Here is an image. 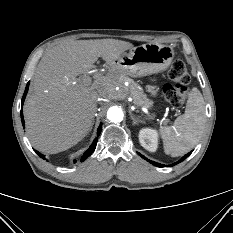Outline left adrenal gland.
Listing matches in <instances>:
<instances>
[{
    "mask_svg": "<svg viewBox=\"0 0 233 233\" xmlns=\"http://www.w3.org/2000/svg\"><path fill=\"white\" fill-rule=\"evenodd\" d=\"M130 118L133 122V125H137L139 122H142L139 118H136L131 111H129Z\"/></svg>",
    "mask_w": 233,
    "mask_h": 233,
    "instance_id": "obj_1",
    "label": "left adrenal gland"
}]
</instances>
